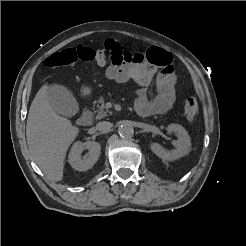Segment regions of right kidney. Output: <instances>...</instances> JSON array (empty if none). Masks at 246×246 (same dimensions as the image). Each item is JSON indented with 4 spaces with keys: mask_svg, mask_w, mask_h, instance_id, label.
<instances>
[{
    "mask_svg": "<svg viewBox=\"0 0 246 246\" xmlns=\"http://www.w3.org/2000/svg\"><path fill=\"white\" fill-rule=\"evenodd\" d=\"M88 149V155L82 157V152ZM101 146L98 142L87 141L84 143L76 142L69 153V163L77 171H87L92 168L100 156Z\"/></svg>",
    "mask_w": 246,
    "mask_h": 246,
    "instance_id": "obj_1",
    "label": "right kidney"
}]
</instances>
